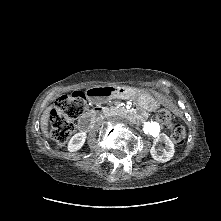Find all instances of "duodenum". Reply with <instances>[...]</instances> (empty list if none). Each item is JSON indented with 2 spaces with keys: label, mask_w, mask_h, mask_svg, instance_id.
I'll return each instance as SVG.
<instances>
[{
  "label": "duodenum",
  "mask_w": 221,
  "mask_h": 221,
  "mask_svg": "<svg viewBox=\"0 0 221 221\" xmlns=\"http://www.w3.org/2000/svg\"><path fill=\"white\" fill-rule=\"evenodd\" d=\"M125 94V89L120 87H89L85 91V98L89 102L108 103L112 99V95L121 96ZM106 112V114H114V116H125L129 121L136 122L139 120L138 113L133 110H128L126 107L115 106H96L91 108L80 120L79 129L82 132H89L95 119Z\"/></svg>",
  "instance_id": "1"
}]
</instances>
